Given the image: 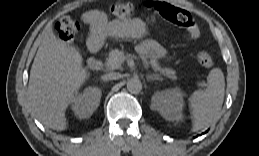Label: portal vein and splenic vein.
Returning a JSON list of instances; mask_svg holds the SVG:
<instances>
[{
    "instance_id": "18ae733b",
    "label": "portal vein and splenic vein",
    "mask_w": 259,
    "mask_h": 156,
    "mask_svg": "<svg viewBox=\"0 0 259 156\" xmlns=\"http://www.w3.org/2000/svg\"><path fill=\"white\" fill-rule=\"evenodd\" d=\"M142 62H143V64H144L145 68H146V69H148V68H149V66H148V62H147V60H146L145 58H142ZM199 86H201V87H205V86H206V84H205L204 82H202V83H199Z\"/></svg>"
}]
</instances>
